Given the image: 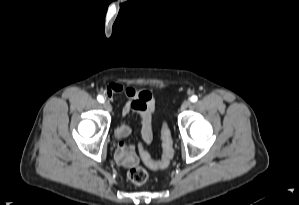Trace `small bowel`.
Listing matches in <instances>:
<instances>
[{
  "label": "small bowel",
  "instance_id": "1",
  "mask_svg": "<svg viewBox=\"0 0 299 205\" xmlns=\"http://www.w3.org/2000/svg\"><path fill=\"white\" fill-rule=\"evenodd\" d=\"M116 93H124L128 98L122 111L125 121L117 128L116 136L119 139L125 138L130 132L127 121L137 115L144 124L143 142H150L152 138L151 119L155 108V95L146 89H135L133 87H124L119 83H111L106 88V94L108 97H112ZM135 149L134 146L120 141L115 149L117 163L126 168L135 166L138 163Z\"/></svg>",
  "mask_w": 299,
  "mask_h": 205
}]
</instances>
